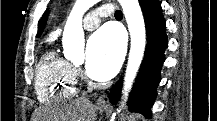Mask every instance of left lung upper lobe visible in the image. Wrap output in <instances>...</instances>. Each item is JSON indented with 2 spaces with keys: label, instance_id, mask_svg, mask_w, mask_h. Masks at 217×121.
Listing matches in <instances>:
<instances>
[{
  "label": "left lung upper lobe",
  "instance_id": "obj_1",
  "mask_svg": "<svg viewBox=\"0 0 217 121\" xmlns=\"http://www.w3.org/2000/svg\"><path fill=\"white\" fill-rule=\"evenodd\" d=\"M47 17H48V10L44 13V15L42 16V18L39 21L38 37L41 35V33L45 27Z\"/></svg>",
  "mask_w": 217,
  "mask_h": 121
}]
</instances>
